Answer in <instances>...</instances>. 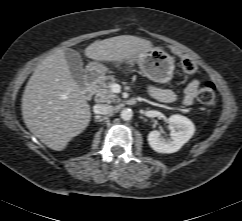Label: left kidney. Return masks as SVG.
Returning <instances> with one entry per match:
<instances>
[{
  "label": "left kidney",
  "instance_id": "left-kidney-1",
  "mask_svg": "<svg viewBox=\"0 0 242 221\" xmlns=\"http://www.w3.org/2000/svg\"><path fill=\"white\" fill-rule=\"evenodd\" d=\"M168 128L171 131V137L162 139L159 131L154 130L148 134V143L150 147L158 153L177 152L185 143H187L195 132L193 122L182 115H172L168 119Z\"/></svg>",
  "mask_w": 242,
  "mask_h": 221
}]
</instances>
